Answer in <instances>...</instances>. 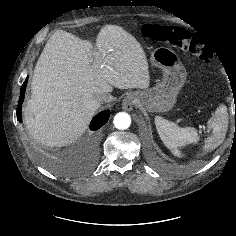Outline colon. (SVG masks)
<instances>
[{
  "label": "colon",
  "instance_id": "obj_1",
  "mask_svg": "<svg viewBox=\"0 0 236 236\" xmlns=\"http://www.w3.org/2000/svg\"><path fill=\"white\" fill-rule=\"evenodd\" d=\"M140 32L149 39L189 51L203 62H210L213 57L209 45L199 36L186 29L147 23L140 27Z\"/></svg>",
  "mask_w": 236,
  "mask_h": 236
}]
</instances>
